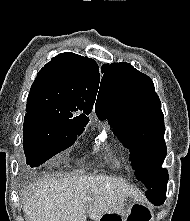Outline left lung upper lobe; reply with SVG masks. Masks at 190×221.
<instances>
[{"mask_svg":"<svg viewBox=\"0 0 190 221\" xmlns=\"http://www.w3.org/2000/svg\"><path fill=\"white\" fill-rule=\"evenodd\" d=\"M95 111L107 119L114 133L130 149V159L138 180L149 196L168 182V172L161 168L167 149L164 141V117L152 80L129 63L102 66Z\"/></svg>","mask_w":190,"mask_h":221,"instance_id":"obj_1","label":"left lung upper lobe"}]
</instances>
